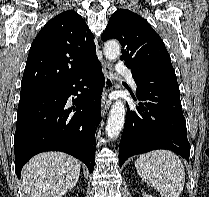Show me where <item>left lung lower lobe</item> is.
<instances>
[{
    "label": "left lung lower lobe",
    "instance_id": "left-lung-lower-lobe-1",
    "mask_svg": "<svg viewBox=\"0 0 209 197\" xmlns=\"http://www.w3.org/2000/svg\"><path fill=\"white\" fill-rule=\"evenodd\" d=\"M143 103L127 105L125 127L119 145L120 167L131 156L156 149L171 150L187 161L190 144L178 84L136 81Z\"/></svg>",
    "mask_w": 209,
    "mask_h": 197
}]
</instances>
